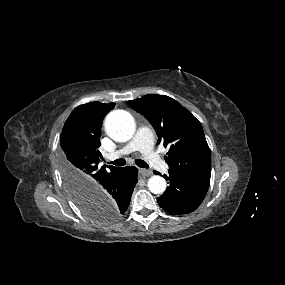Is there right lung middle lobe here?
<instances>
[{
  "instance_id": "right-lung-middle-lobe-1",
  "label": "right lung middle lobe",
  "mask_w": 285,
  "mask_h": 285,
  "mask_svg": "<svg viewBox=\"0 0 285 285\" xmlns=\"http://www.w3.org/2000/svg\"><path fill=\"white\" fill-rule=\"evenodd\" d=\"M64 182L79 209L90 219L102 223L114 221L119 218L116 212L107 204H103L87 194L77 192V184L71 180L68 170L62 167Z\"/></svg>"
}]
</instances>
